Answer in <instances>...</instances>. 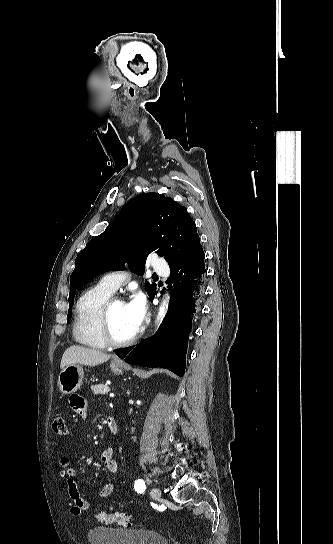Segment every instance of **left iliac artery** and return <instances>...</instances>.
<instances>
[{"label":"left iliac artery","instance_id":"1","mask_svg":"<svg viewBox=\"0 0 333 544\" xmlns=\"http://www.w3.org/2000/svg\"><path fill=\"white\" fill-rule=\"evenodd\" d=\"M134 489L138 493H143L145 491V489H146V485H145L144 480H142V479L136 480L135 484H134Z\"/></svg>","mask_w":333,"mask_h":544}]
</instances>
